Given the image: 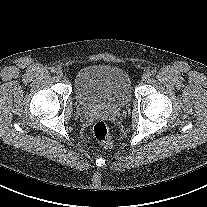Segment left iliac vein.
Wrapping results in <instances>:
<instances>
[{
  "label": "left iliac vein",
  "mask_w": 207,
  "mask_h": 207,
  "mask_svg": "<svg viewBox=\"0 0 207 207\" xmlns=\"http://www.w3.org/2000/svg\"><path fill=\"white\" fill-rule=\"evenodd\" d=\"M149 77H150V73L146 72L142 75V80L147 81L149 79Z\"/></svg>",
  "instance_id": "left-iliac-vein-1"
}]
</instances>
